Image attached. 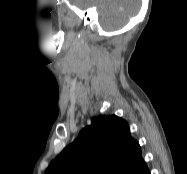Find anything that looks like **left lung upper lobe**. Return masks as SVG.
<instances>
[{"mask_svg": "<svg viewBox=\"0 0 187 174\" xmlns=\"http://www.w3.org/2000/svg\"><path fill=\"white\" fill-rule=\"evenodd\" d=\"M141 162V148L130 136L127 122L115 115L99 116L50 163L44 174H130Z\"/></svg>", "mask_w": 187, "mask_h": 174, "instance_id": "obj_1", "label": "left lung upper lobe"}]
</instances>
